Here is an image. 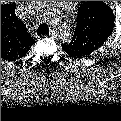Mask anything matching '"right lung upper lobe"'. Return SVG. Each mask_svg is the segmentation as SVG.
Segmentation results:
<instances>
[{"label":"right lung upper lobe","mask_w":121,"mask_h":121,"mask_svg":"<svg viewBox=\"0 0 121 121\" xmlns=\"http://www.w3.org/2000/svg\"><path fill=\"white\" fill-rule=\"evenodd\" d=\"M34 39L15 15L14 4L1 5V58L14 60L26 54Z\"/></svg>","instance_id":"right-lung-upper-lobe-1"}]
</instances>
